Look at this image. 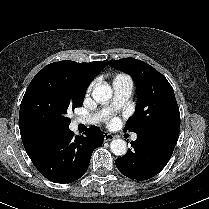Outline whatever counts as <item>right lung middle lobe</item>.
I'll list each match as a JSON object with an SVG mask.
<instances>
[{
    "label": "right lung middle lobe",
    "instance_id": "1",
    "mask_svg": "<svg viewBox=\"0 0 209 209\" xmlns=\"http://www.w3.org/2000/svg\"><path fill=\"white\" fill-rule=\"evenodd\" d=\"M87 84L73 66L49 64L31 81L22 99L19 121L44 133H62L71 122L67 112L82 106Z\"/></svg>",
    "mask_w": 209,
    "mask_h": 209
}]
</instances>
